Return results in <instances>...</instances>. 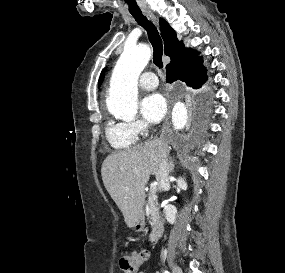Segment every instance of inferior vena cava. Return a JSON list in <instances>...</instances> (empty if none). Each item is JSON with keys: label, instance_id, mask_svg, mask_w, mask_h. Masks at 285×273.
<instances>
[{"label": "inferior vena cava", "instance_id": "602c4592", "mask_svg": "<svg viewBox=\"0 0 285 273\" xmlns=\"http://www.w3.org/2000/svg\"><path fill=\"white\" fill-rule=\"evenodd\" d=\"M169 172H170V164L168 163L167 156L162 157L159 165L158 174L156 176L159 181V189L163 191L166 187L169 186Z\"/></svg>", "mask_w": 285, "mask_h": 273}]
</instances>
